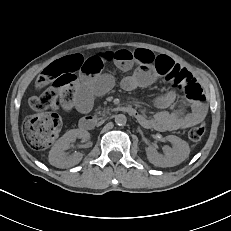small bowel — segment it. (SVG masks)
Masks as SVG:
<instances>
[{
    "label": "small bowel",
    "mask_w": 231,
    "mask_h": 231,
    "mask_svg": "<svg viewBox=\"0 0 231 231\" xmlns=\"http://www.w3.org/2000/svg\"><path fill=\"white\" fill-rule=\"evenodd\" d=\"M59 61L67 64L75 77L72 84V98L62 101V107L65 110L74 107L81 112L89 111L94 97L107 93L114 86V78L104 72L105 66L110 63L124 71L136 67L131 75L121 81L122 88L127 91L147 87L158 76L170 81L173 72L187 71L172 58L165 55L155 56L147 49L99 51L87 56L73 54ZM156 105L161 111L153 118L140 115L138 120L145 127L159 131H172L197 125L204 120L207 113L203 99L189 98L176 104V94L173 91L158 97Z\"/></svg>",
    "instance_id": "c3829d8e"
}]
</instances>
